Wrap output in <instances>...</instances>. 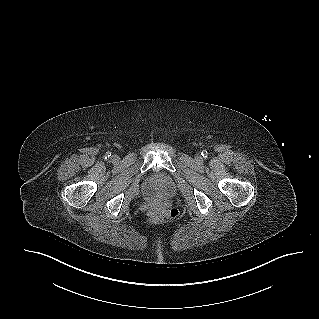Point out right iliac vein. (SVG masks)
I'll return each instance as SVG.
<instances>
[{
    "instance_id": "1",
    "label": "right iliac vein",
    "mask_w": 319,
    "mask_h": 319,
    "mask_svg": "<svg viewBox=\"0 0 319 319\" xmlns=\"http://www.w3.org/2000/svg\"><path fill=\"white\" fill-rule=\"evenodd\" d=\"M111 160L113 162H118L119 161V157L117 155H112Z\"/></svg>"
}]
</instances>
